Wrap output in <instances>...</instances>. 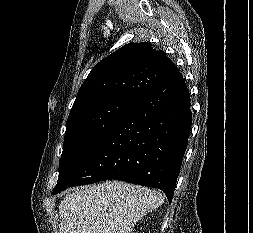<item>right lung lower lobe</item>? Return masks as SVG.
<instances>
[{"instance_id":"1","label":"right lung lower lobe","mask_w":253,"mask_h":233,"mask_svg":"<svg viewBox=\"0 0 253 233\" xmlns=\"http://www.w3.org/2000/svg\"><path fill=\"white\" fill-rule=\"evenodd\" d=\"M192 114L181 73L137 98L114 128L54 188L121 180L161 189L171 203Z\"/></svg>"}]
</instances>
